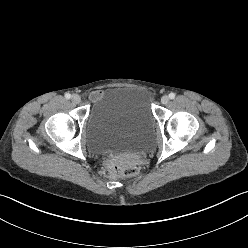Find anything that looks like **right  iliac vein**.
I'll use <instances>...</instances> for the list:
<instances>
[{"mask_svg": "<svg viewBox=\"0 0 248 248\" xmlns=\"http://www.w3.org/2000/svg\"><path fill=\"white\" fill-rule=\"evenodd\" d=\"M71 100L73 103L78 104L81 101V97L78 94H74L72 95Z\"/></svg>", "mask_w": 248, "mask_h": 248, "instance_id": "1", "label": "right iliac vein"}]
</instances>
